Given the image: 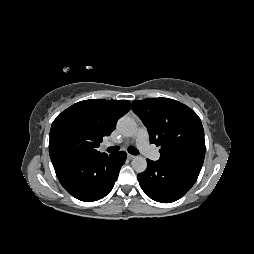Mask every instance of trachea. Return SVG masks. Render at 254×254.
<instances>
[{
  "instance_id": "1",
  "label": "trachea",
  "mask_w": 254,
  "mask_h": 254,
  "mask_svg": "<svg viewBox=\"0 0 254 254\" xmlns=\"http://www.w3.org/2000/svg\"><path fill=\"white\" fill-rule=\"evenodd\" d=\"M119 150V147L118 146H113V147H108L107 148V152L108 153H115ZM128 152L132 155H138L139 154V151L135 148H132V147H129L128 148Z\"/></svg>"
}]
</instances>
